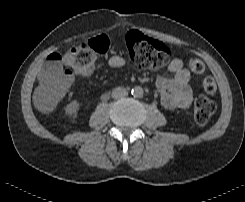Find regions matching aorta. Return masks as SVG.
<instances>
[{"mask_svg":"<svg viewBox=\"0 0 245 202\" xmlns=\"http://www.w3.org/2000/svg\"><path fill=\"white\" fill-rule=\"evenodd\" d=\"M131 94L136 98H140L143 96L144 90L141 86H135L134 88H132Z\"/></svg>","mask_w":245,"mask_h":202,"instance_id":"1","label":"aorta"}]
</instances>
